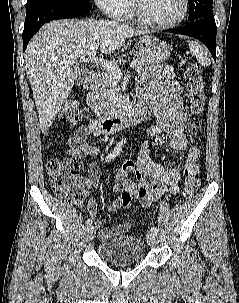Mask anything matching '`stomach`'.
Segmentation results:
<instances>
[{
	"instance_id": "stomach-1",
	"label": "stomach",
	"mask_w": 239,
	"mask_h": 303,
	"mask_svg": "<svg viewBox=\"0 0 239 303\" xmlns=\"http://www.w3.org/2000/svg\"><path fill=\"white\" fill-rule=\"evenodd\" d=\"M139 53L150 59L154 63L166 61L171 53V48L167 43L154 36H143L136 41Z\"/></svg>"
}]
</instances>
